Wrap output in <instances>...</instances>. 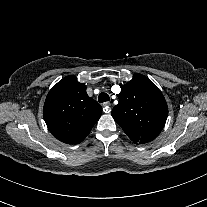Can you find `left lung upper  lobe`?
Listing matches in <instances>:
<instances>
[{
	"mask_svg": "<svg viewBox=\"0 0 207 207\" xmlns=\"http://www.w3.org/2000/svg\"><path fill=\"white\" fill-rule=\"evenodd\" d=\"M168 107L161 91L147 77L135 73L121 87L119 103L112 116L134 142L144 144L155 139L167 120Z\"/></svg>",
	"mask_w": 207,
	"mask_h": 207,
	"instance_id": "1",
	"label": "left lung upper lobe"
}]
</instances>
